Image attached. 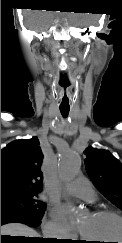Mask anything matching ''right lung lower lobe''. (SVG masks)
Here are the masks:
<instances>
[{
  "label": "right lung lower lobe",
  "instance_id": "1",
  "mask_svg": "<svg viewBox=\"0 0 122 243\" xmlns=\"http://www.w3.org/2000/svg\"><path fill=\"white\" fill-rule=\"evenodd\" d=\"M11 222H20L27 224L31 227H36L41 223V219H38L35 216L26 212L1 208V225ZM28 241L32 243H53L52 241L43 239H31Z\"/></svg>",
  "mask_w": 122,
  "mask_h": 243
}]
</instances>
